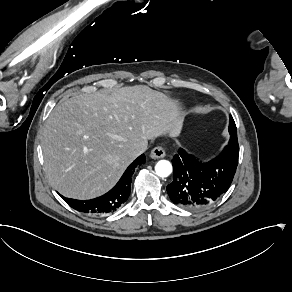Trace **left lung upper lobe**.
Instances as JSON below:
<instances>
[{"label":"left lung upper lobe","instance_id":"5c2ea615","mask_svg":"<svg viewBox=\"0 0 292 292\" xmlns=\"http://www.w3.org/2000/svg\"><path fill=\"white\" fill-rule=\"evenodd\" d=\"M229 133L231 137L228 144L232 146H239L238 139H237L236 125L231 115H230V123H229Z\"/></svg>","mask_w":292,"mask_h":292}]
</instances>
